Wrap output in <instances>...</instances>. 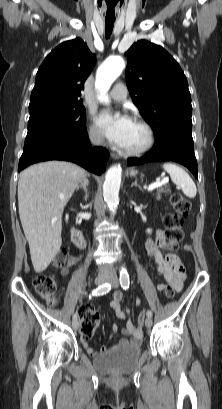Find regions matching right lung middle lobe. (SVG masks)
Instances as JSON below:
<instances>
[{
	"instance_id": "1",
	"label": "right lung middle lobe",
	"mask_w": 222,
	"mask_h": 409,
	"mask_svg": "<svg viewBox=\"0 0 222 409\" xmlns=\"http://www.w3.org/2000/svg\"><path fill=\"white\" fill-rule=\"evenodd\" d=\"M29 113L23 151L42 145L73 148L87 135L81 102L48 103L29 108Z\"/></svg>"
}]
</instances>
